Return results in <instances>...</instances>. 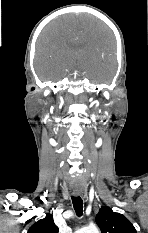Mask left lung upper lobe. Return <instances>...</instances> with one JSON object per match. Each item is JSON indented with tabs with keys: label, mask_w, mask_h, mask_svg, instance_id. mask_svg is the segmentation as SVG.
Segmentation results:
<instances>
[{
	"label": "left lung upper lobe",
	"mask_w": 148,
	"mask_h": 233,
	"mask_svg": "<svg viewBox=\"0 0 148 233\" xmlns=\"http://www.w3.org/2000/svg\"><path fill=\"white\" fill-rule=\"evenodd\" d=\"M96 223L102 233H137L132 223L122 214L104 206L96 216Z\"/></svg>",
	"instance_id": "obj_1"
}]
</instances>
